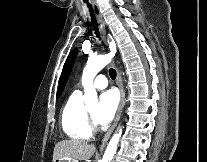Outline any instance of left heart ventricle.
I'll return each instance as SVG.
<instances>
[{"label":"left heart ventricle","mask_w":207,"mask_h":162,"mask_svg":"<svg viewBox=\"0 0 207 162\" xmlns=\"http://www.w3.org/2000/svg\"><path fill=\"white\" fill-rule=\"evenodd\" d=\"M89 112L92 114V116L95 118L96 112H97V106H93L89 109Z\"/></svg>","instance_id":"left-heart-ventricle-1"}]
</instances>
